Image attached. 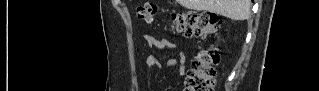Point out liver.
<instances>
[{"mask_svg": "<svg viewBox=\"0 0 319 91\" xmlns=\"http://www.w3.org/2000/svg\"><path fill=\"white\" fill-rule=\"evenodd\" d=\"M183 7L209 11L231 20H244L250 16L251 0H177Z\"/></svg>", "mask_w": 319, "mask_h": 91, "instance_id": "1", "label": "liver"}]
</instances>
